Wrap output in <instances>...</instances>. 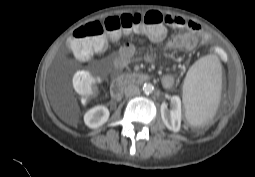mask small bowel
<instances>
[{
  "instance_id": "c3829d8e",
  "label": "small bowel",
  "mask_w": 255,
  "mask_h": 177,
  "mask_svg": "<svg viewBox=\"0 0 255 177\" xmlns=\"http://www.w3.org/2000/svg\"><path fill=\"white\" fill-rule=\"evenodd\" d=\"M165 17L168 26L184 29L188 32L177 34L168 39L163 46L164 52H171L176 50H192L198 45L199 42H209L211 40L208 34L202 33L200 25L196 22L179 16L167 15ZM164 36L165 29L162 37L154 40H162ZM143 58L148 62H153L158 58V54H146ZM137 59L138 56L136 54L134 45L126 43L120 47L117 55L113 60V66L115 69L121 70L125 68L129 63ZM162 85L166 89L173 88L175 85L174 77L170 74H166L162 78Z\"/></svg>"
}]
</instances>
